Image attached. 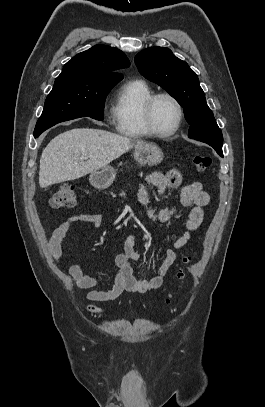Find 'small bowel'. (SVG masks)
Returning a JSON list of instances; mask_svg holds the SVG:
<instances>
[{
  "instance_id": "c3829d8e",
  "label": "small bowel",
  "mask_w": 265,
  "mask_h": 407,
  "mask_svg": "<svg viewBox=\"0 0 265 407\" xmlns=\"http://www.w3.org/2000/svg\"><path fill=\"white\" fill-rule=\"evenodd\" d=\"M182 184V176L177 170L167 173L153 172L146 176L138 191V200L145 208L149 218L156 222L164 223L170 220L176 211L173 208L155 211L149 207L147 186H154L159 193H165L170 187H179ZM181 204L190 208L183 234L173 242V248L166 251L164 259L157 273L150 279H139L131 265V262L140 260L135 236L128 235L123 241V251L116 256L115 265L117 273L111 288L101 289L100 278L85 274L78 264L71 263L68 266L69 277L80 287L88 290L87 299L93 304L86 306V311L93 315L103 314L106 309L100 304L116 300L123 292L148 293L158 290L164 283L167 272L175 263L177 255L175 250L181 249L188 244L192 234L199 228L204 218V207L208 205L210 197L203 189L201 182H191L181 189ZM79 223L88 224L98 228L102 224L100 214H75L65 219L52 233L49 247L52 257L56 262L68 253H63L61 243L66 235Z\"/></svg>"
}]
</instances>
